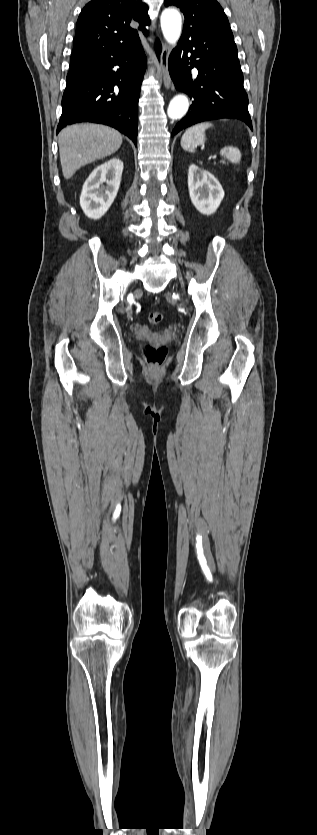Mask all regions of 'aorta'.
<instances>
[{
	"mask_svg": "<svg viewBox=\"0 0 317 835\" xmlns=\"http://www.w3.org/2000/svg\"><path fill=\"white\" fill-rule=\"evenodd\" d=\"M182 28V18L176 9H165L161 14V29L164 38L171 45H176ZM187 96L180 94L174 97L167 109V115L172 120L181 119L188 111Z\"/></svg>",
	"mask_w": 317,
	"mask_h": 835,
	"instance_id": "1",
	"label": "aorta"
}]
</instances>
